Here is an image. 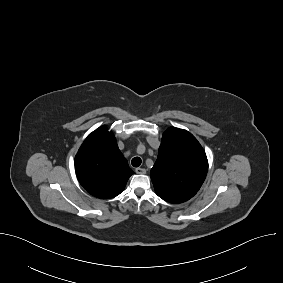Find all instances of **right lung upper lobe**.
Returning a JSON list of instances; mask_svg holds the SVG:
<instances>
[{
  "instance_id": "obj_1",
  "label": "right lung upper lobe",
  "mask_w": 283,
  "mask_h": 283,
  "mask_svg": "<svg viewBox=\"0 0 283 283\" xmlns=\"http://www.w3.org/2000/svg\"><path fill=\"white\" fill-rule=\"evenodd\" d=\"M75 169L84 189L103 199L119 195L133 174L114 135L105 126L86 138L75 157Z\"/></svg>"
}]
</instances>
